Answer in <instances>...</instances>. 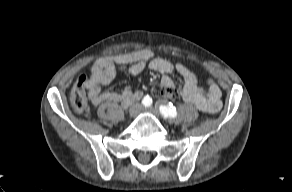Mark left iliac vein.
<instances>
[{
	"mask_svg": "<svg viewBox=\"0 0 292 192\" xmlns=\"http://www.w3.org/2000/svg\"><path fill=\"white\" fill-rule=\"evenodd\" d=\"M144 111H147L149 113H152L153 115H155L156 117H160V113L158 108L156 107H149V108H144Z\"/></svg>",
	"mask_w": 292,
	"mask_h": 192,
	"instance_id": "left-iliac-vein-1",
	"label": "left iliac vein"
}]
</instances>
